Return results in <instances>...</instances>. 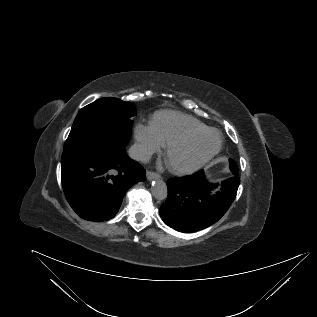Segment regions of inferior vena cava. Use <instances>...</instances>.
Segmentation results:
<instances>
[{"instance_id": "602c4592", "label": "inferior vena cava", "mask_w": 317, "mask_h": 317, "mask_svg": "<svg viewBox=\"0 0 317 317\" xmlns=\"http://www.w3.org/2000/svg\"><path fill=\"white\" fill-rule=\"evenodd\" d=\"M129 156L137 161L148 162L151 158L150 152L141 144L135 143L129 149Z\"/></svg>"}]
</instances>
